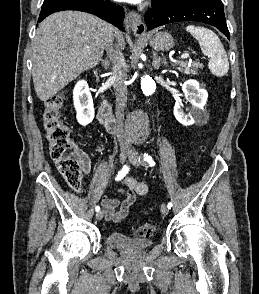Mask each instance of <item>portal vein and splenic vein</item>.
<instances>
[{"instance_id":"1","label":"portal vein and splenic vein","mask_w":259,"mask_h":294,"mask_svg":"<svg viewBox=\"0 0 259 294\" xmlns=\"http://www.w3.org/2000/svg\"><path fill=\"white\" fill-rule=\"evenodd\" d=\"M188 57H189V54H187V53L181 55V58H182V59H187Z\"/></svg>"}]
</instances>
